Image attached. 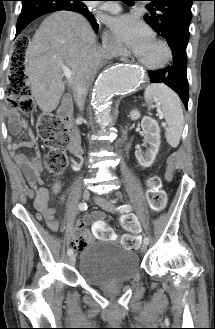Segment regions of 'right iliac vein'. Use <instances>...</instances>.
Masks as SVG:
<instances>
[{
	"instance_id": "1",
	"label": "right iliac vein",
	"mask_w": 215,
	"mask_h": 329,
	"mask_svg": "<svg viewBox=\"0 0 215 329\" xmlns=\"http://www.w3.org/2000/svg\"><path fill=\"white\" fill-rule=\"evenodd\" d=\"M82 197L84 200H88L90 198V192L88 190L83 191ZM70 265L74 266L76 263V257L75 255H71L69 258Z\"/></svg>"
}]
</instances>
